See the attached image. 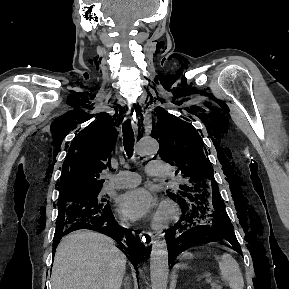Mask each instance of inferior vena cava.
<instances>
[{"mask_svg": "<svg viewBox=\"0 0 289 289\" xmlns=\"http://www.w3.org/2000/svg\"><path fill=\"white\" fill-rule=\"evenodd\" d=\"M124 227H128L127 225L123 224Z\"/></svg>", "mask_w": 289, "mask_h": 289, "instance_id": "1", "label": "inferior vena cava"}]
</instances>
